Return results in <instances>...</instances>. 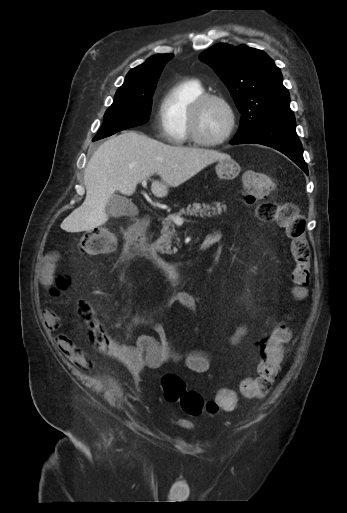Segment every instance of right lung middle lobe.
Masks as SVG:
<instances>
[{"label":"right lung middle lobe","mask_w":347,"mask_h":513,"mask_svg":"<svg viewBox=\"0 0 347 513\" xmlns=\"http://www.w3.org/2000/svg\"><path fill=\"white\" fill-rule=\"evenodd\" d=\"M156 83L140 88H119L115 99L104 115V123L93 141L148 121Z\"/></svg>","instance_id":"1"}]
</instances>
